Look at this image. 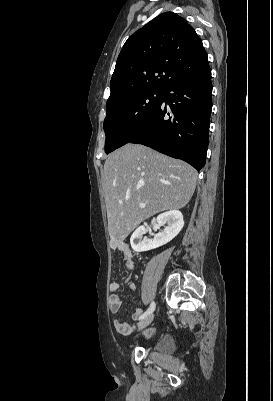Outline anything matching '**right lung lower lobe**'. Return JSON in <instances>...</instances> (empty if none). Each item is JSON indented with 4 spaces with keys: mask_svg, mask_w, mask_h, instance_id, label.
<instances>
[{
    "mask_svg": "<svg viewBox=\"0 0 273 401\" xmlns=\"http://www.w3.org/2000/svg\"><path fill=\"white\" fill-rule=\"evenodd\" d=\"M211 95L208 62L182 73L163 89L159 107L128 143L149 146L200 170L209 144Z\"/></svg>",
    "mask_w": 273,
    "mask_h": 401,
    "instance_id": "right-lung-lower-lobe-1",
    "label": "right lung lower lobe"
}]
</instances>
